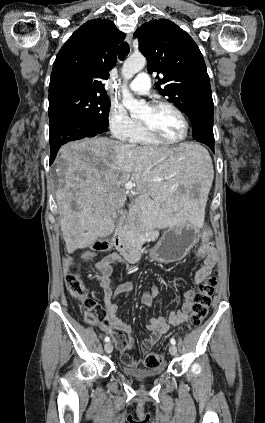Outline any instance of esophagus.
I'll return each instance as SVG.
<instances>
[{"instance_id": "34e87169", "label": "esophagus", "mask_w": 265, "mask_h": 423, "mask_svg": "<svg viewBox=\"0 0 265 423\" xmlns=\"http://www.w3.org/2000/svg\"><path fill=\"white\" fill-rule=\"evenodd\" d=\"M126 41H127L129 44H131V43H132V34H131V33H128V34H127V36H126Z\"/></svg>"}]
</instances>
